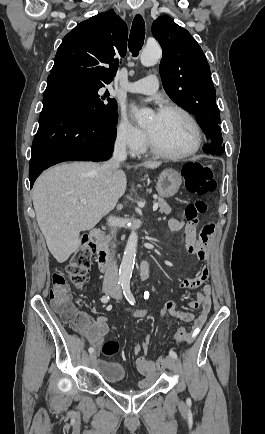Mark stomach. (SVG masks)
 I'll use <instances>...</instances> for the list:
<instances>
[{"instance_id": "obj_1", "label": "stomach", "mask_w": 265, "mask_h": 434, "mask_svg": "<svg viewBox=\"0 0 265 434\" xmlns=\"http://www.w3.org/2000/svg\"><path fill=\"white\" fill-rule=\"evenodd\" d=\"M181 182L182 178L176 170H164L158 178L156 192L161 198H171L177 194Z\"/></svg>"}]
</instances>
